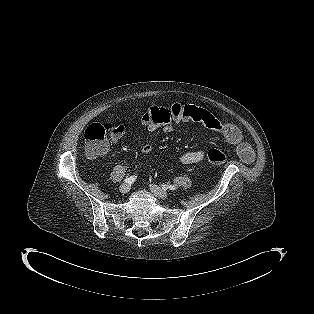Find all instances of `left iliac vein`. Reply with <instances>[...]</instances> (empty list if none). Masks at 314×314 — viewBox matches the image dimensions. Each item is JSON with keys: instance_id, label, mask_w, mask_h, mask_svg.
Masks as SVG:
<instances>
[{"instance_id": "obj_1", "label": "left iliac vein", "mask_w": 314, "mask_h": 314, "mask_svg": "<svg viewBox=\"0 0 314 314\" xmlns=\"http://www.w3.org/2000/svg\"><path fill=\"white\" fill-rule=\"evenodd\" d=\"M150 190L156 197L160 199H167L169 197V194L157 185H150Z\"/></svg>"}]
</instances>
